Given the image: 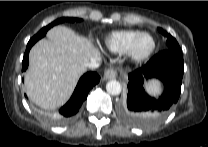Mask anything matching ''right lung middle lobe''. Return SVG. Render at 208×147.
<instances>
[{
    "label": "right lung middle lobe",
    "instance_id": "dd1d6c3e",
    "mask_svg": "<svg viewBox=\"0 0 208 147\" xmlns=\"http://www.w3.org/2000/svg\"><path fill=\"white\" fill-rule=\"evenodd\" d=\"M74 21H81V19L78 18H70V17H63V18H59L55 21H53L52 23H50L49 25H47L46 27H43L35 36H44L46 34V32L53 26L63 23V22H74Z\"/></svg>",
    "mask_w": 208,
    "mask_h": 147
}]
</instances>
